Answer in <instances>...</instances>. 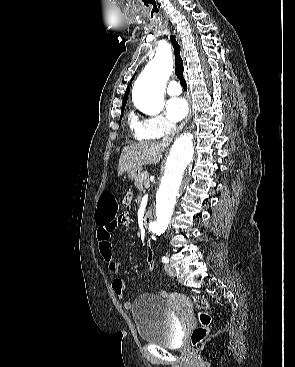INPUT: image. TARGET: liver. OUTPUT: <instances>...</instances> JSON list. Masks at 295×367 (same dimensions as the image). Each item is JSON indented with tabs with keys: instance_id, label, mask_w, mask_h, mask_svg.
Returning a JSON list of instances; mask_svg holds the SVG:
<instances>
[{
	"instance_id": "1",
	"label": "liver",
	"mask_w": 295,
	"mask_h": 367,
	"mask_svg": "<svg viewBox=\"0 0 295 367\" xmlns=\"http://www.w3.org/2000/svg\"><path fill=\"white\" fill-rule=\"evenodd\" d=\"M165 147L166 145L157 141L139 142L124 147L119 159L118 176L133 168L159 163Z\"/></svg>"
}]
</instances>
